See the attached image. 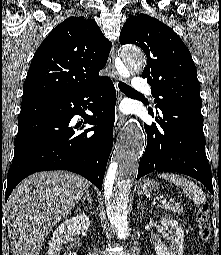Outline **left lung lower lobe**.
Instances as JSON below:
<instances>
[{"label": "left lung lower lobe", "instance_id": "1", "mask_svg": "<svg viewBox=\"0 0 221 255\" xmlns=\"http://www.w3.org/2000/svg\"><path fill=\"white\" fill-rule=\"evenodd\" d=\"M151 115L157 123H144L148 142L137 179L155 170L178 172L199 180L214 194L202 116L174 106L162 107Z\"/></svg>", "mask_w": 221, "mask_h": 255}]
</instances>
